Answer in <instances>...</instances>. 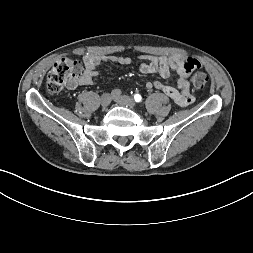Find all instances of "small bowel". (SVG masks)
Returning <instances> with one entry per match:
<instances>
[{"label":"small bowel","instance_id":"small-bowel-1","mask_svg":"<svg viewBox=\"0 0 253 253\" xmlns=\"http://www.w3.org/2000/svg\"><path fill=\"white\" fill-rule=\"evenodd\" d=\"M139 70L144 74L158 73L162 78H168L172 72L178 75L177 88L165 84L162 81H148L145 84L147 90H160L173 101L184 107H191L195 101V95L190 92L188 76L193 70L189 65L191 59H185L181 55L151 56L142 55ZM132 59L127 56L89 55L85 57V71L73 83L74 87L91 85L97 76L96 67L102 63H117L120 65L131 64Z\"/></svg>","mask_w":253,"mask_h":253}]
</instances>
